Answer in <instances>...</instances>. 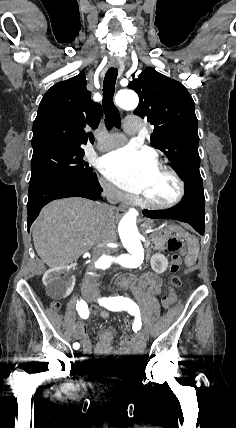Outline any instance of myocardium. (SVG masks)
Instances as JSON below:
<instances>
[{"mask_svg": "<svg viewBox=\"0 0 236 428\" xmlns=\"http://www.w3.org/2000/svg\"><path fill=\"white\" fill-rule=\"evenodd\" d=\"M155 169H162L167 175H169L177 186V191L175 196L166 202H158L152 199H149L145 196L140 197V200L143 204L158 210H168L179 205L186 196V183L183 177L166 161L159 162L156 164Z\"/></svg>", "mask_w": 236, "mask_h": 428, "instance_id": "f54148a6", "label": "myocardium"}]
</instances>
